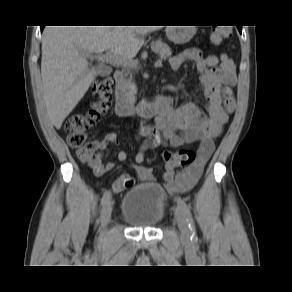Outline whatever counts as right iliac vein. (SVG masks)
Returning a JSON list of instances; mask_svg holds the SVG:
<instances>
[{
  "instance_id": "obj_1",
  "label": "right iliac vein",
  "mask_w": 292,
  "mask_h": 292,
  "mask_svg": "<svg viewBox=\"0 0 292 292\" xmlns=\"http://www.w3.org/2000/svg\"><path fill=\"white\" fill-rule=\"evenodd\" d=\"M112 209H113V201L112 200H109L103 207L102 211H101V228L102 229H105L108 222H109V219H110V216H111V213H112Z\"/></svg>"
}]
</instances>
